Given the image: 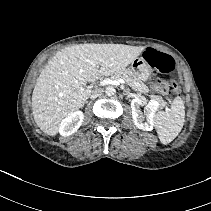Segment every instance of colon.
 Listing matches in <instances>:
<instances>
[{"mask_svg": "<svg viewBox=\"0 0 211 211\" xmlns=\"http://www.w3.org/2000/svg\"><path fill=\"white\" fill-rule=\"evenodd\" d=\"M145 60L158 72L171 74L174 72L175 63L173 58L165 53L149 48L144 52ZM155 90L162 95L177 94L179 85L175 80L170 82L159 80L156 83Z\"/></svg>", "mask_w": 211, "mask_h": 211, "instance_id": "1", "label": "colon"}]
</instances>
